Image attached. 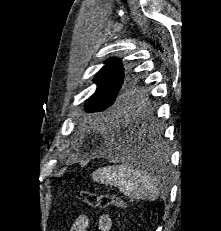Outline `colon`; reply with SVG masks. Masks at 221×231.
I'll list each match as a JSON object with an SVG mask.
<instances>
[{
	"label": "colon",
	"mask_w": 221,
	"mask_h": 231,
	"mask_svg": "<svg viewBox=\"0 0 221 231\" xmlns=\"http://www.w3.org/2000/svg\"><path fill=\"white\" fill-rule=\"evenodd\" d=\"M76 196L85 204L95 208H123L125 206L123 199L116 195L96 194L86 189H78Z\"/></svg>",
	"instance_id": "5ec220e1"
}]
</instances>
